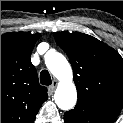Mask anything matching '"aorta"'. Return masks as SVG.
<instances>
[{
    "label": "aorta",
    "instance_id": "1",
    "mask_svg": "<svg viewBox=\"0 0 123 123\" xmlns=\"http://www.w3.org/2000/svg\"><path fill=\"white\" fill-rule=\"evenodd\" d=\"M45 64L53 76L59 80L54 95L57 106L64 111L72 109L77 101V91L69 62L64 55L53 51L46 54Z\"/></svg>",
    "mask_w": 123,
    "mask_h": 123
}]
</instances>
